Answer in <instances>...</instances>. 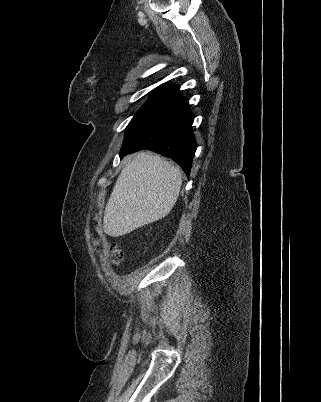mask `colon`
<instances>
[{"label": "colon", "mask_w": 321, "mask_h": 402, "mask_svg": "<svg viewBox=\"0 0 321 402\" xmlns=\"http://www.w3.org/2000/svg\"><path fill=\"white\" fill-rule=\"evenodd\" d=\"M113 249V262L115 265H119L123 261V253L117 248L116 244H112Z\"/></svg>", "instance_id": "colon-1"}]
</instances>
